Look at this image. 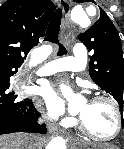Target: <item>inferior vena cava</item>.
Segmentation results:
<instances>
[{
	"label": "inferior vena cava",
	"mask_w": 124,
	"mask_h": 149,
	"mask_svg": "<svg viewBox=\"0 0 124 149\" xmlns=\"http://www.w3.org/2000/svg\"><path fill=\"white\" fill-rule=\"evenodd\" d=\"M40 136H31L28 149H37Z\"/></svg>",
	"instance_id": "obj_1"
}]
</instances>
